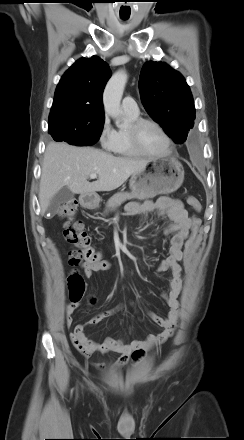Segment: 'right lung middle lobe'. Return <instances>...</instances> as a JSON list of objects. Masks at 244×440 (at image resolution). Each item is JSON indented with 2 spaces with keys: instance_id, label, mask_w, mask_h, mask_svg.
<instances>
[{
  "instance_id": "right-lung-middle-lobe-1",
  "label": "right lung middle lobe",
  "mask_w": 244,
  "mask_h": 440,
  "mask_svg": "<svg viewBox=\"0 0 244 440\" xmlns=\"http://www.w3.org/2000/svg\"><path fill=\"white\" fill-rule=\"evenodd\" d=\"M103 121L81 123L76 121H49V133L55 141H65L71 145H92L99 140Z\"/></svg>"
}]
</instances>
